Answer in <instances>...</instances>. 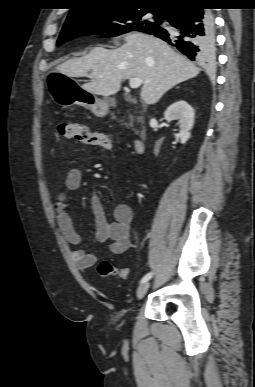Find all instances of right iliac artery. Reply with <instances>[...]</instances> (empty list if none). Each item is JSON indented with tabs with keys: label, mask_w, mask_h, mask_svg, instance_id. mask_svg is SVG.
Returning a JSON list of instances; mask_svg holds the SVG:
<instances>
[{
	"label": "right iliac artery",
	"mask_w": 255,
	"mask_h": 387,
	"mask_svg": "<svg viewBox=\"0 0 255 387\" xmlns=\"http://www.w3.org/2000/svg\"><path fill=\"white\" fill-rule=\"evenodd\" d=\"M152 275H153L152 272L146 274V275L141 279L140 283L142 284V283L147 282V281L152 277Z\"/></svg>",
	"instance_id": "1"
}]
</instances>
